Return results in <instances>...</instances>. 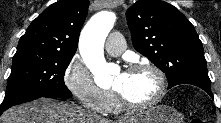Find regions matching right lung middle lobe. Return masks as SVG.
<instances>
[{
    "label": "right lung middle lobe",
    "mask_w": 221,
    "mask_h": 123,
    "mask_svg": "<svg viewBox=\"0 0 221 123\" xmlns=\"http://www.w3.org/2000/svg\"><path fill=\"white\" fill-rule=\"evenodd\" d=\"M74 53L40 50L17 51L1 109L29 102L48 94L72 96L64 83V74Z\"/></svg>",
    "instance_id": "1"
}]
</instances>
